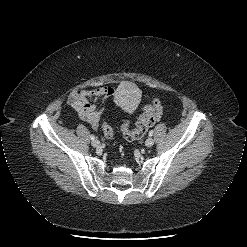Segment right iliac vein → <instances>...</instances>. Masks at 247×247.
Returning <instances> with one entry per match:
<instances>
[{
  "mask_svg": "<svg viewBox=\"0 0 247 247\" xmlns=\"http://www.w3.org/2000/svg\"><path fill=\"white\" fill-rule=\"evenodd\" d=\"M92 146H93V147H96V148L100 147V142H99V140H93Z\"/></svg>",
  "mask_w": 247,
  "mask_h": 247,
  "instance_id": "63e3f726",
  "label": "right iliac vein"
}]
</instances>
